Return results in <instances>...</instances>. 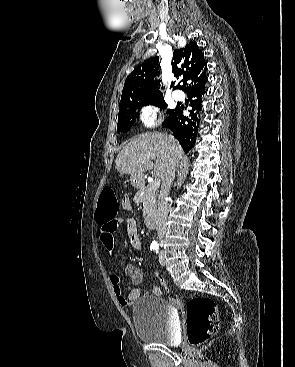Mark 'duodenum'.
Segmentation results:
<instances>
[{
    "mask_svg": "<svg viewBox=\"0 0 295 367\" xmlns=\"http://www.w3.org/2000/svg\"><path fill=\"white\" fill-rule=\"evenodd\" d=\"M144 222L147 228H153L157 222V214L155 212L149 213Z\"/></svg>",
    "mask_w": 295,
    "mask_h": 367,
    "instance_id": "1",
    "label": "duodenum"
}]
</instances>
